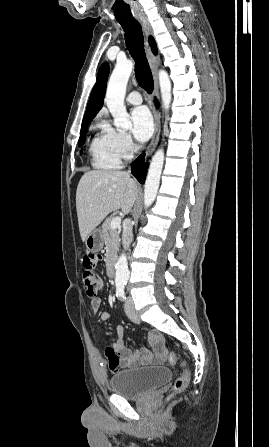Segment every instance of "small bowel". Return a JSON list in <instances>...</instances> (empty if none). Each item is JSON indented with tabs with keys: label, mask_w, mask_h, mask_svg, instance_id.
I'll return each mask as SVG.
<instances>
[{
	"label": "small bowel",
	"mask_w": 269,
	"mask_h": 447,
	"mask_svg": "<svg viewBox=\"0 0 269 447\" xmlns=\"http://www.w3.org/2000/svg\"><path fill=\"white\" fill-rule=\"evenodd\" d=\"M101 305L100 298H94L91 301L92 312H97ZM111 318V314L108 312H102L100 314V320L106 321ZM117 340L114 344L115 350L121 355L122 366L125 368H131L139 364H157L164 360L165 354L160 345V339L166 338L165 332L156 331L154 333L147 332L145 337L149 339V344L153 349V353H150L147 348H143L141 351L133 352L128 349L124 344L125 330L122 326L116 328Z\"/></svg>",
	"instance_id": "obj_1"
}]
</instances>
